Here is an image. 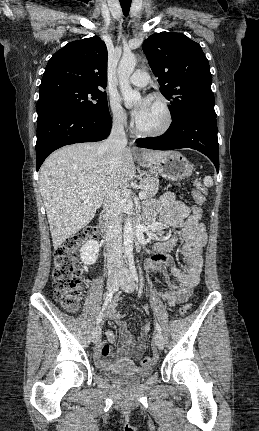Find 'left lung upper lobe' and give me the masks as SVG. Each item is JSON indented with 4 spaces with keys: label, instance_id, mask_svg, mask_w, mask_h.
<instances>
[{
    "label": "left lung upper lobe",
    "instance_id": "1",
    "mask_svg": "<svg viewBox=\"0 0 259 431\" xmlns=\"http://www.w3.org/2000/svg\"><path fill=\"white\" fill-rule=\"evenodd\" d=\"M143 51L161 93L170 100L172 119L189 112L216 116L210 67L198 43L181 33H154Z\"/></svg>",
    "mask_w": 259,
    "mask_h": 431
}]
</instances>
